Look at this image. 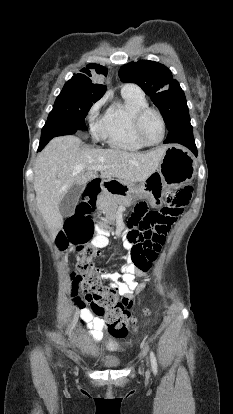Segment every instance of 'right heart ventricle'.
I'll list each match as a JSON object with an SVG mask.
<instances>
[{
  "mask_svg": "<svg viewBox=\"0 0 233 414\" xmlns=\"http://www.w3.org/2000/svg\"><path fill=\"white\" fill-rule=\"evenodd\" d=\"M122 102L112 104L96 126L98 136L112 148L138 151L149 145L142 142L134 129V117L138 111L149 107L140 91L122 89Z\"/></svg>",
  "mask_w": 233,
  "mask_h": 414,
  "instance_id": "e07e8e85",
  "label": "right heart ventricle"
}]
</instances>
